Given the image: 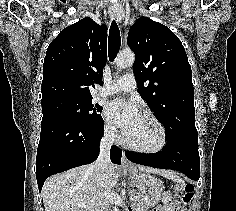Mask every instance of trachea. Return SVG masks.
I'll return each instance as SVG.
<instances>
[{
	"instance_id": "3493384b",
	"label": "trachea",
	"mask_w": 236,
	"mask_h": 211,
	"mask_svg": "<svg viewBox=\"0 0 236 211\" xmlns=\"http://www.w3.org/2000/svg\"><path fill=\"white\" fill-rule=\"evenodd\" d=\"M121 46V36L117 23L112 21L108 38V56L110 61H114Z\"/></svg>"
}]
</instances>
